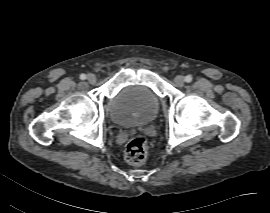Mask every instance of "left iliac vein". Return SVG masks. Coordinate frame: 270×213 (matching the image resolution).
I'll return each mask as SVG.
<instances>
[{
    "label": "left iliac vein",
    "mask_w": 270,
    "mask_h": 213,
    "mask_svg": "<svg viewBox=\"0 0 270 213\" xmlns=\"http://www.w3.org/2000/svg\"><path fill=\"white\" fill-rule=\"evenodd\" d=\"M174 82H175V84L177 86H182L184 84V82H185V79H184L183 76L178 75V76L175 77Z\"/></svg>",
    "instance_id": "4c4485c4"
}]
</instances>
